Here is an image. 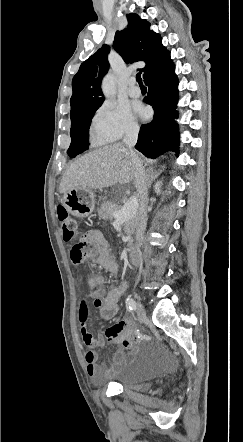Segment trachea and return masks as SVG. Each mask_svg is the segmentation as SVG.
<instances>
[{
    "mask_svg": "<svg viewBox=\"0 0 243 442\" xmlns=\"http://www.w3.org/2000/svg\"><path fill=\"white\" fill-rule=\"evenodd\" d=\"M136 81L139 83V85H143L141 73L136 74Z\"/></svg>",
    "mask_w": 243,
    "mask_h": 442,
    "instance_id": "obj_1",
    "label": "trachea"
}]
</instances>
